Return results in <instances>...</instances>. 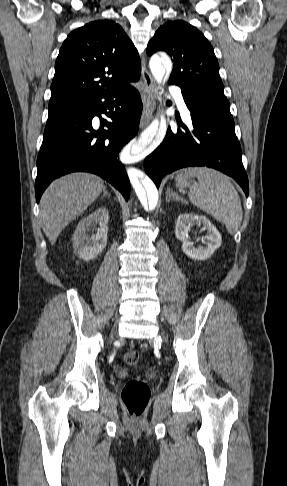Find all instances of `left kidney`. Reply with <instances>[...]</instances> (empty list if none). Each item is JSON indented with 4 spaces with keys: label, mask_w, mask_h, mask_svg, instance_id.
I'll use <instances>...</instances> for the list:
<instances>
[{
    "label": "left kidney",
    "mask_w": 287,
    "mask_h": 486,
    "mask_svg": "<svg viewBox=\"0 0 287 486\" xmlns=\"http://www.w3.org/2000/svg\"><path fill=\"white\" fill-rule=\"evenodd\" d=\"M192 225H202V230L207 231V235L203 239L204 246L195 247L194 243L188 239V231ZM175 235L183 242V252L194 260L208 259L222 243L221 234L210 220L195 213H184L178 216Z\"/></svg>",
    "instance_id": "1"
}]
</instances>
